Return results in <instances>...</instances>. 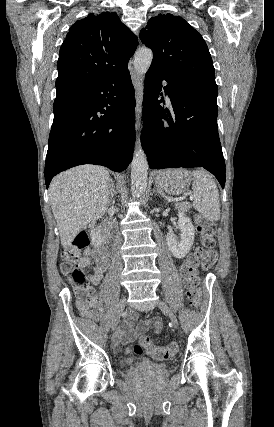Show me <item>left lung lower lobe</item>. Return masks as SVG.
<instances>
[{
    "mask_svg": "<svg viewBox=\"0 0 274 427\" xmlns=\"http://www.w3.org/2000/svg\"><path fill=\"white\" fill-rule=\"evenodd\" d=\"M171 100L160 103L162 81ZM217 93L184 85L150 68L146 73L141 143L151 169L203 167L225 185V162L217 126Z\"/></svg>",
    "mask_w": 274,
    "mask_h": 427,
    "instance_id": "left-lung-lower-lobe-1",
    "label": "left lung lower lobe"
}]
</instances>
